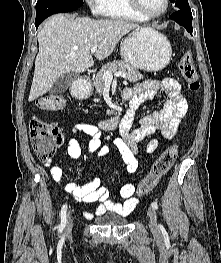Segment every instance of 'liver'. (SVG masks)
<instances>
[{"label":"liver","mask_w":221,"mask_h":263,"mask_svg":"<svg viewBox=\"0 0 221 263\" xmlns=\"http://www.w3.org/2000/svg\"><path fill=\"white\" fill-rule=\"evenodd\" d=\"M151 31L149 27L122 20L92 19L65 15L50 17L38 32L39 52L29 101L44 95L63 74L83 73L94 65L91 48L97 46L95 57L107 58L120 39L131 30Z\"/></svg>","instance_id":"obj_1"}]
</instances>
